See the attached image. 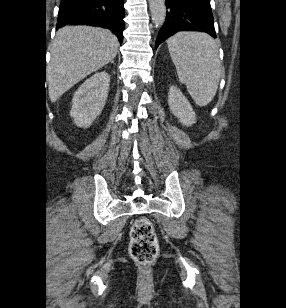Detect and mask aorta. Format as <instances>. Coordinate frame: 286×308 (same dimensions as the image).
I'll return each mask as SVG.
<instances>
[{
  "instance_id": "762f6f07",
  "label": "aorta",
  "mask_w": 286,
  "mask_h": 308,
  "mask_svg": "<svg viewBox=\"0 0 286 308\" xmlns=\"http://www.w3.org/2000/svg\"><path fill=\"white\" fill-rule=\"evenodd\" d=\"M152 22L156 27L164 24L166 18L165 0H148Z\"/></svg>"
}]
</instances>
